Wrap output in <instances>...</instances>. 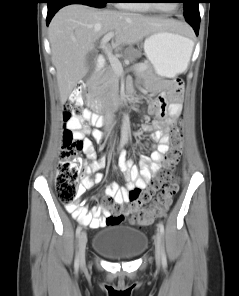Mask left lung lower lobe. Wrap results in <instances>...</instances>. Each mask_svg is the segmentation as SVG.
<instances>
[{"mask_svg": "<svg viewBox=\"0 0 239 296\" xmlns=\"http://www.w3.org/2000/svg\"><path fill=\"white\" fill-rule=\"evenodd\" d=\"M187 22L191 24V26L194 28L196 34L198 35L200 21H187Z\"/></svg>", "mask_w": 239, "mask_h": 296, "instance_id": "0a47b994", "label": "left lung lower lobe"}]
</instances>
